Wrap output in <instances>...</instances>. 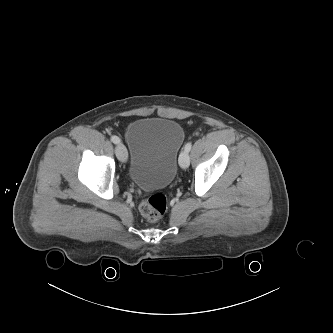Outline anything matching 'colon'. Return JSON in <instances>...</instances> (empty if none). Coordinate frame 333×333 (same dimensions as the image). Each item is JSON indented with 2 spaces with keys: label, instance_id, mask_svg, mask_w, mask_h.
<instances>
[{
  "label": "colon",
  "instance_id": "obj_1",
  "mask_svg": "<svg viewBox=\"0 0 333 333\" xmlns=\"http://www.w3.org/2000/svg\"><path fill=\"white\" fill-rule=\"evenodd\" d=\"M139 210L146 220L156 222L167 210V198L161 193L154 194L140 204Z\"/></svg>",
  "mask_w": 333,
  "mask_h": 333
}]
</instances>
